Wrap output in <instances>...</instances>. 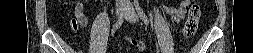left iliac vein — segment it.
<instances>
[{
    "label": "left iliac vein",
    "instance_id": "4c4485c4",
    "mask_svg": "<svg viewBox=\"0 0 253 53\" xmlns=\"http://www.w3.org/2000/svg\"><path fill=\"white\" fill-rule=\"evenodd\" d=\"M125 16H126V19L131 23L138 22L137 14L131 6H129V9H128L127 13L125 14Z\"/></svg>",
    "mask_w": 253,
    "mask_h": 53
}]
</instances>
